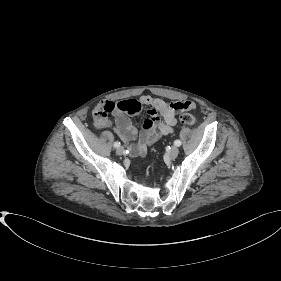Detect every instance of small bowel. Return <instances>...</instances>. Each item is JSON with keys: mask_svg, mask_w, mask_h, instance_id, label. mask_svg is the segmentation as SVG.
Segmentation results:
<instances>
[{"mask_svg": "<svg viewBox=\"0 0 281 281\" xmlns=\"http://www.w3.org/2000/svg\"><path fill=\"white\" fill-rule=\"evenodd\" d=\"M131 102H137L140 106H148V119L143 124V130L136 142L133 143L137 136V130L127 115H135L128 113L126 110L116 112V130L120 138L128 144V150L131 156H142L146 153L148 147L155 144L162 136L171 135L174 132V127L177 123L176 113L183 110L193 109L194 103L189 101L166 102L160 98H155L149 95L142 96L139 101L128 100L123 101L125 105ZM190 103V107L184 105ZM115 104L111 101H103L96 105L94 113L99 109ZM162 117V119L159 117Z\"/></svg>", "mask_w": 281, "mask_h": 281, "instance_id": "small-bowel-1", "label": "small bowel"}]
</instances>
